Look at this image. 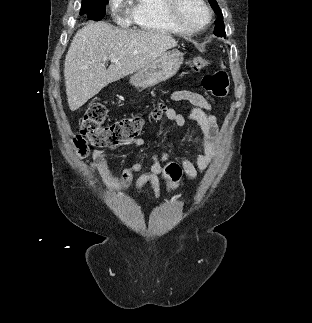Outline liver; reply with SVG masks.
Segmentation results:
<instances>
[{
	"instance_id": "1",
	"label": "liver",
	"mask_w": 312,
	"mask_h": 323,
	"mask_svg": "<svg viewBox=\"0 0 312 323\" xmlns=\"http://www.w3.org/2000/svg\"><path fill=\"white\" fill-rule=\"evenodd\" d=\"M177 46L170 34L122 30L107 22H88L76 32L66 54L64 78L71 112L86 104L102 88L138 72ZM110 58L109 68L105 64Z\"/></svg>"
}]
</instances>
